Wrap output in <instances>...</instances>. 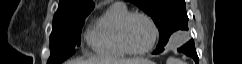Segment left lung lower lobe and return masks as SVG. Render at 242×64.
Listing matches in <instances>:
<instances>
[{
  "mask_svg": "<svg viewBox=\"0 0 242 64\" xmlns=\"http://www.w3.org/2000/svg\"><path fill=\"white\" fill-rule=\"evenodd\" d=\"M164 49H165V47L156 48V50L153 52V54H159L162 51H164ZM177 50L179 52L186 54L187 56L192 57L194 59V61L196 62V64H199V58L196 53L194 40H190L189 42H187L185 45H183L182 47H180Z\"/></svg>",
  "mask_w": 242,
  "mask_h": 64,
  "instance_id": "obj_1",
  "label": "left lung lower lobe"
}]
</instances>
